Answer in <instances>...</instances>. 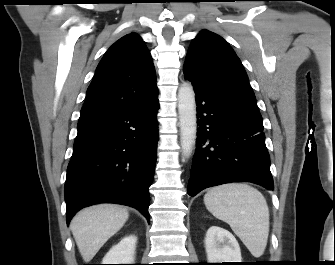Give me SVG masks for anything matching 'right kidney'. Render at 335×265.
Instances as JSON below:
<instances>
[{"label": "right kidney", "instance_id": "1", "mask_svg": "<svg viewBox=\"0 0 335 265\" xmlns=\"http://www.w3.org/2000/svg\"><path fill=\"white\" fill-rule=\"evenodd\" d=\"M137 237L125 236L104 256L102 264H134Z\"/></svg>", "mask_w": 335, "mask_h": 265}]
</instances>
